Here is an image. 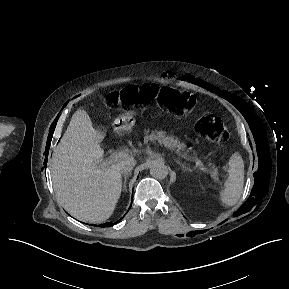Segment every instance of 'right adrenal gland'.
I'll list each match as a JSON object with an SVG mask.
<instances>
[{
	"label": "right adrenal gland",
	"mask_w": 289,
	"mask_h": 289,
	"mask_svg": "<svg viewBox=\"0 0 289 289\" xmlns=\"http://www.w3.org/2000/svg\"><path fill=\"white\" fill-rule=\"evenodd\" d=\"M131 173L124 174V181H123V191H126V181Z\"/></svg>",
	"instance_id": "2a0ac1e0"
}]
</instances>
